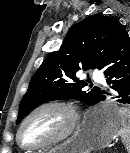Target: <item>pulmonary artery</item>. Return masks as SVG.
I'll return each mask as SVG.
<instances>
[{
  "label": "pulmonary artery",
  "mask_w": 130,
  "mask_h": 153,
  "mask_svg": "<svg viewBox=\"0 0 130 153\" xmlns=\"http://www.w3.org/2000/svg\"><path fill=\"white\" fill-rule=\"evenodd\" d=\"M92 78L95 82H98V83H101V84L105 83L103 75L98 71L93 72Z\"/></svg>",
  "instance_id": "1"
}]
</instances>
